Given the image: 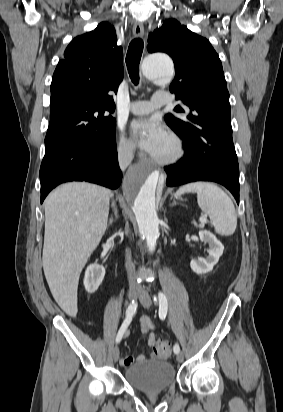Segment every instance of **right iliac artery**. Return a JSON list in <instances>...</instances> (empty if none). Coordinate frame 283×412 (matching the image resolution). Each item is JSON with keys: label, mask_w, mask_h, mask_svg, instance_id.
Masks as SVG:
<instances>
[{"label": "right iliac artery", "mask_w": 283, "mask_h": 412, "mask_svg": "<svg viewBox=\"0 0 283 412\" xmlns=\"http://www.w3.org/2000/svg\"><path fill=\"white\" fill-rule=\"evenodd\" d=\"M137 306L138 303L137 301H132V303L128 306L127 310H126V319L124 320V322L122 323L118 334L116 336V343H119L123 337L124 332L126 331L128 325L130 324V322L132 321L133 316L136 313L137 310Z\"/></svg>", "instance_id": "right-iliac-artery-1"}]
</instances>
